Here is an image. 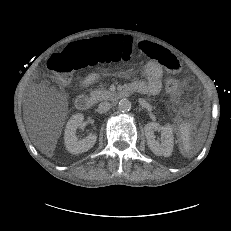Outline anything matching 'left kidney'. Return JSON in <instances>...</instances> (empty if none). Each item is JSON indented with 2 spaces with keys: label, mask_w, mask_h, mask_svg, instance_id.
<instances>
[{
  "label": "left kidney",
  "mask_w": 231,
  "mask_h": 231,
  "mask_svg": "<svg viewBox=\"0 0 231 231\" xmlns=\"http://www.w3.org/2000/svg\"><path fill=\"white\" fill-rule=\"evenodd\" d=\"M147 144L150 150L158 156L168 157L171 155L174 146V137L172 126L167 124L160 126L158 123L150 122L144 127ZM155 131H159L162 135L163 141L159 143L155 139Z\"/></svg>",
  "instance_id": "5707ae66"
}]
</instances>
